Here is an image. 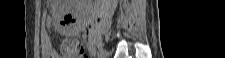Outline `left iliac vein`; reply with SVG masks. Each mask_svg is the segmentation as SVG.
Masks as SVG:
<instances>
[{
  "label": "left iliac vein",
  "instance_id": "4c4485c4",
  "mask_svg": "<svg viewBox=\"0 0 225 58\" xmlns=\"http://www.w3.org/2000/svg\"><path fill=\"white\" fill-rule=\"evenodd\" d=\"M106 51L103 47H99L98 48V52H97V58H106Z\"/></svg>",
  "mask_w": 225,
  "mask_h": 58
}]
</instances>
